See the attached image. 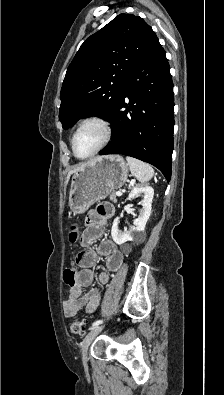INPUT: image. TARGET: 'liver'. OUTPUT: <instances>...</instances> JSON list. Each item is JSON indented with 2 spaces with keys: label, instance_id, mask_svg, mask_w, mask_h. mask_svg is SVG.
<instances>
[{
  "label": "liver",
  "instance_id": "obj_1",
  "mask_svg": "<svg viewBox=\"0 0 224 395\" xmlns=\"http://www.w3.org/2000/svg\"><path fill=\"white\" fill-rule=\"evenodd\" d=\"M94 160H95V159H91L90 161H88V162H86V163H82V164H80L77 168L71 170V171L68 173V175H67V178H66L65 183H66V184L68 183L71 174H73L74 172H76V171H78V170L84 168L85 166L91 164Z\"/></svg>",
  "mask_w": 224,
  "mask_h": 395
}]
</instances>
